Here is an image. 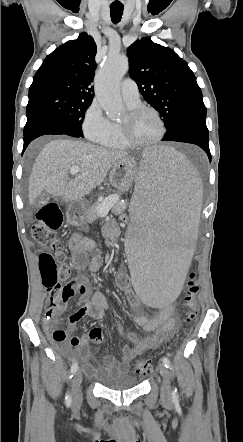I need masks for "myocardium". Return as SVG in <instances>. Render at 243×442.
<instances>
[{
    "instance_id": "obj_1",
    "label": "myocardium",
    "mask_w": 243,
    "mask_h": 442,
    "mask_svg": "<svg viewBox=\"0 0 243 442\" xmlns=\"http://www.w3.org/2000/svg\"><path fill=\"white\" fill-rule=\"evenodd\" d=\"M144 112H151L155 115V117L157 118L159 125H160V132L156 138H154L150 141L137 142V141H134L130 136L131 121L133 119L137 118L139 115H141ZM127 115H128V118L126 120L120 122V134H121V138H122L123 142L128 147H133V148L150 147V146L156 145L164 138V136L166 134V125H165L164 119L162 118L160 112L156 108H154L152 106H147V105H137L136 107L130 108Z\"/></svg>"
}]
</instances>
